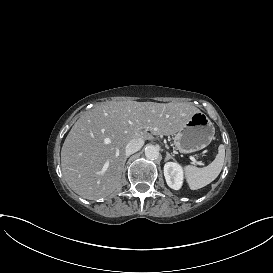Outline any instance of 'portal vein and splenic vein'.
Listing matches in <instances>:
<instances>
[{"mask_svg":"<svg viewBox=\"0 0 273 273\" xmlns=\"http://www.w3.org/2000/svg\"><path fill=\"white\" fill-rule=\"evenodd\" d=\"M189 158H190L193 162H196V161H197V158H196V157H192V158H191V156H189ZM106 171H107V169L102 168L101 173L105 174Z\"/></svg>","mask_w":273,"mask_h":273,"instance_id":"obj_1","label":"portal vein and splenic vein"}]
</instances>
